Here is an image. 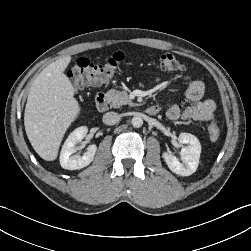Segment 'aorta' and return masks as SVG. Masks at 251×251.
I'll use <instances>...</instances> for the list:
<instances>
[{"label": "aorta", "mask_w": 251, "mask_h": 251, "mask_svg": "<svg viewBox=\"0 0 251 251\" xmlns=\"http://www.w3.org/2000/svg\"><path fill=\"white\" fill-rule=\"evenodd\" d=\"M133 127L140 128L143 125V119L140 116H135L131 121Z\"/></svg>", "instance_id": "obj_1"}]
</instances>
